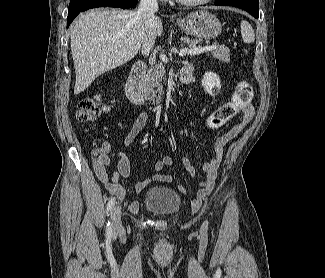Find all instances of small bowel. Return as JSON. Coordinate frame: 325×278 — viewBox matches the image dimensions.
Masks as SVG:
<instances>
[{
	"mask_svg": "<svg viewBox=\"0 0 325 278\" xmlns=\"http://www.w3.org/2000/svg\"><path fill=\"white\" fill-rule=\"evenodd\" d=\"M254 114V109L251 105L246 106L242 111L240 121L225 135L219 137L214 143V157L203 164V169L206 173L204 179L200 182L199 197H204L209 194L213 188L214 181L217 175L218 168L223 159L224 146L241 130H243L251 121ZM148 113L139 114L132 123L128 133L123 139V144L129 146L133 143L137 135L144 128L149 119ZM103 155L94 163V170L100 181L103 183L106 190L116 196L125 206L134 210L136 208L135 202H127L125 200V190L120 186L118 180L120 178H127L130 174V161L128 156L121 151H111L109 144H103ZM116 158L118 160L117 170L110 174L107 170L111 161ZM182 165L189 174L195 176L197 168L193 165L190 159L184 157L181 160ZM173 163V159L169 155L161 157L154 166L155 174L150 179L140 181L136 184V192H141L152 180L169 183L172 181V176L164 174L162 171ZM182 193H186L184 187H180Z\"/></svg>",
	"mask_w": 325,
	"mask_h": 278,
	"instance_id": "c3829d8e",
	"label": "small bowel"
}]
</instances>
